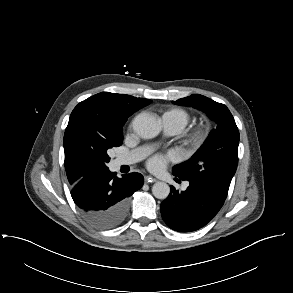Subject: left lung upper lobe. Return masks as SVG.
Segmentation results:
<instances>
[{
  "instance_id": "5c2ea615",
  "label": "left lung upper lobe",
  "mask_w": 293,
  "mask_h": 293,
  "mask_svg": "<svg viewBox=\"0 0 293 293\" xmlns=\"http://www.w3.org/2000/svg\"><path fill=\"white\" fill-rule=\"evenodd\" d=\"M173 103L201 110L216 123L197 152L172 168L173 175L183 180L197 179L228 192L237 169L239 144V131L231 112L224 104L200 94Z\"/></svg>"
}]
</instances>
